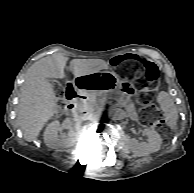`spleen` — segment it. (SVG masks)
<instances>
[{
  "label": "spleen",
  "instance_id": "spleen-1",
  "mask_svg": "<svg viewBox=\"0 0 194 193\" xmlns=\"http://www.w3.org/2000/svg\"><path fill=\"white\" fill-rule=\"evenodd\" d=\"M158 103L164 112L165 122L172 130L175 128L178 121V111L171 96L161 91L158 95Z\"/></svg>",
  "mask_w": 194,
  "mask_h": 193
}]
</instances>
